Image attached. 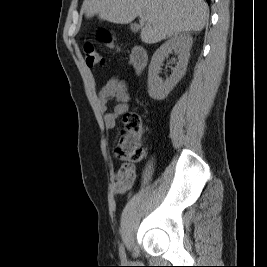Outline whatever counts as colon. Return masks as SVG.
Returning <instances> with one entry per match:
<instances>
[{"label":"colon","mask_w":267,"mask_h":267,"mask_svg":"<svg viewBox=\"0 0 267 267\" xmlns=\"http://www.w3.org/2000/svg\"><path fill=\"white\" fill-rule=\"evenodd\" d=\"M98 42L108 48L117 49L118 46L108 31L101 30L97 35ZM84 54L86 62L90 67L101 66L105 64V57L100 51L97 43L88 41L84 45ZM144 125L141 117L136 112L126 113L123 117V128L115 147V156L124 161L125 164L134 168L144 158L143 133Z\"/></svg>","instance_id":"5ec220e1"}]
</instances>
